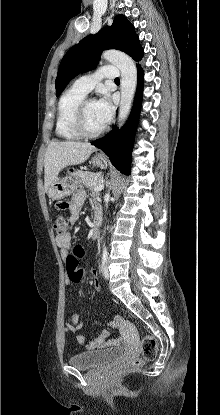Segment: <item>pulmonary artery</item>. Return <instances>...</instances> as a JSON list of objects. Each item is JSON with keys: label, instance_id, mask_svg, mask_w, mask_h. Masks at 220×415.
<instances>
[{"label": "pulmonary artery", "instance_id": "pulmonary-artery-1", "mask_svg": "<svg viewBox=\"0 0 220 415\" xmlns=\"http://www.w3.org/2000/svg\"><path fill=\"white\" fill-rule=\"evenodd\" d=\"M119 76V69L113 65H105L94 73L84 75L75 80L73 88L88 94L103 78L113 79Z\"/></svg>", "mask_w": 220, "mask_h": 415}]
</instances>
